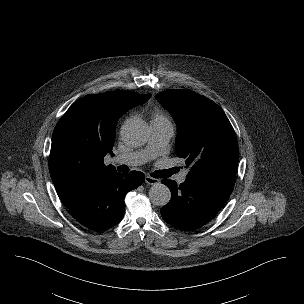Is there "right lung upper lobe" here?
Here are the masks:
<instances>
[{
  "label": "right lung upper lobe",
  "mask_w": 304,
  "mask_h": 304,
  "mask_svg": "<svg viewBox=\"0 0 304 304\" xmlns=\"http://www.w3.org/2000/svg\"><path fill=\"white\" fill-rule=\"evenodd\" d=\"M150 96L132 91L88 95L61 117L52 135L49 171L66 207L80 200L102 174L115 169L105 166L103 158L114 145L116 123Z\"/></svg>",
  "instance_id": "cb5924a9"
}]
</instances>
